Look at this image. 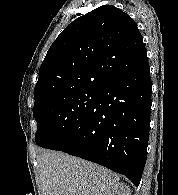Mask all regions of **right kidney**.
<instances>
[{"mask_svg": "<svg viewBox=\"0 0 178 195\" xmlns=\"http://www.w3.org/2000/svg\"><path fill=\"white\" fill-rule=\"evenodd\" d=\"M103 195H131V193L126 184L117 183L105 190Z\"/></svg>", "mask_w": 178, "mask_h": 195, "instance_id": "ca27d5eb", "label": "right kidney"}]
</instances>
